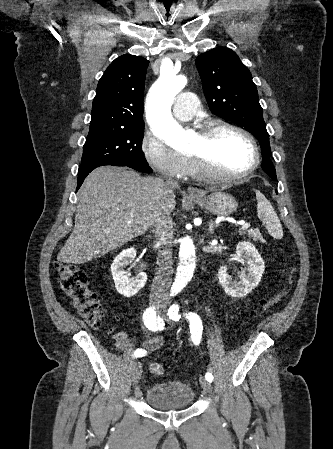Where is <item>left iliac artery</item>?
I'll return each mask as SVG.
<instances>
[{
  "label": "left iliac artery",
  "instance_id": "1",
  "mask_svg": "<svg viewBox=\"0 0 333 449\" xmlns=\"http://www.w3.org/2000/svg\"><path fill=\"white\" fill-rule=\"evenodd\" d=\"M178 311H179V306L176 304H173L168 310L169 318L172 320L178 321L181 318V315L178 313ZM186 318L189 321L191 340L197 346L200 343L201 336H202V330H203L201 318L195 313H188L186 315ZM205 378L209 382H212L213 381L212 373L207 372L205 374Z\"/></svg>",
  "mask_w": 333,
  "mask_h": 449
}]
</instances>
